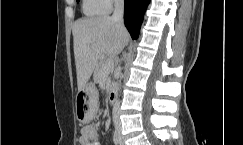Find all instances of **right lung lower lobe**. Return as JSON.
<instances>
[{
    "label": "right lung lower lobe",
    "mask_w": 243,
    "mask_h": 145,
    "mask_svg": "<svg viewBox=\"0 0 243 145\" xmlns=\"http://www.w3.org/2000/svg\"><path fill=\"white\" fill-rule=\"evenodd\" d=\"M150 0H124V22L131 37L137 39Z\"/></svg>",
    "instance_id": "98d812e1"
}]
</instances>
